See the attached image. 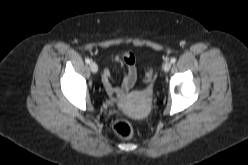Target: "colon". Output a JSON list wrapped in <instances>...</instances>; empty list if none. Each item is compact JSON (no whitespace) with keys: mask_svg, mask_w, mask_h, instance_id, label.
<instances>
[{"mask_svg":"<svg viewBox=\"0 0 248 165\" xmlns=\"http://www.w3.org/2000/svg\"><path fill=\"white\" fill-rule=\"evenodd\" d=\"M152 78H153V72L152 70H149L146 74V79L150 81L152 80ZM113 130L119 137L124 139H129L134 134V129L132 124L125 119H116L113 122Z\"/></svg>","mask_w":248,"mask_h":165,"instance_id":"5ec220e1","label":"colon"}]
</instances>
